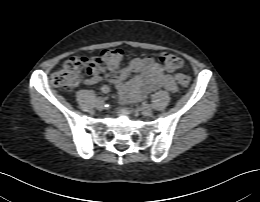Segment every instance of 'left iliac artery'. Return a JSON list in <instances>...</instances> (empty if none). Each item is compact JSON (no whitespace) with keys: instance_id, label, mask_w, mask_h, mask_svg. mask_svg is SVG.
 I'll return each mask as SVG.
<instances>
[{"instance_id":"obj_1","label":"left iliac artery","mask_w":260,"mask_h":202,"mask_svg":"<svg viewBox=\"0 0 260 202\" xmlns=\"http://www.w3.org/2000/svg\"><path fill=\"white\" fill-rule=\"evenodd\" d=\"M143 105H149V104H148V101H144V102H143Z\"/></svg>"}]
</instances>
